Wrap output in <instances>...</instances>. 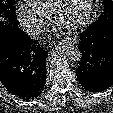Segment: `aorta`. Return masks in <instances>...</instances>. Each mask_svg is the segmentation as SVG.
Returning <instances> with one entry per match:
<instances>
[{"label": "aorta", "instance_id": "obj_1", "mask_svg": "<svg viewBox=\"0 0 113 113\" xmlns=\"http://www.w3.org/2000/svg\"><path fill=\"white\" fill-rule=\"evenodd\" d=\"M58 53L68 61H79L81 51L79 47L71 40H65L57 46Z\"/></svg>", "mask_w": 113, "mask_h": 113}]
</instances>
